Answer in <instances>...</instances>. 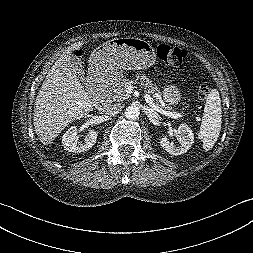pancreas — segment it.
I'll list each match as a JSON object with an SVG mask.
<instances>
[{
    "label": "pancreas",
    "mask_w": 253,
    "mask_h": 253,
    "mask_svg": "<svg viewBox=\"0 0 253 253\" xmlns=\"http://www.w3.org/2000/svg\"><path fill=\"white\" fill-rule=\"evenodd\" d=\"M139 79H140L139 84L144 89V91L152 98L157 99V96L160 95L159 88L156 85H154L149 78L145 76H140ZM132 84H133L132 80L127 78L122 79V82H120L118 88L114 90L113 99L115 101H123L128 99L130 95L126 92V88L128 86H131ZM155 105L157 107H161V104L158 100L155 101ZM165 108L171 109V106H167Z\"/></svg>",
    "instance_id": "pancreas-1"
}]
</instances>
